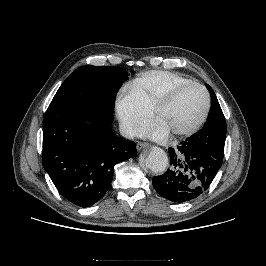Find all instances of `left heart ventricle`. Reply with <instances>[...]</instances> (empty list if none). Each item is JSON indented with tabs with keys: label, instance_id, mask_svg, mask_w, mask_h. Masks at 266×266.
Listing matches in <instances>:
<instances>
[{
	"label": "left heart ventricle",
	"instance_id": "1",
	"mask_svg": "<svg viewBox=\"0 0 266 266\" xmlns=\"http://www.w3.org/2000/svg\"><path fill=\"white\" fill-rule=\"evenodd\" d=\"M204 93L196 87L184 90L156 117L169 133H173L193 125L203 114L205 109Z\"/></svg>",
	"mask_w": 266,
	"mask_h": 266
}]
</instances>
